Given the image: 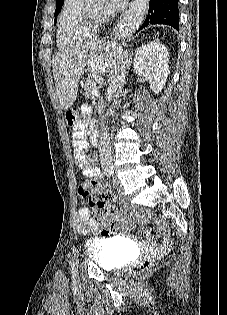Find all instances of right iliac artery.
I'll return each instance as SVG.
<instances>
[{"label": "right iliac artery", "instance_id": "82829eb1", "mask_svg": "<svg viewBox=\"0 0 227 315\" xmlns=\"http://www.w3.org/2000/svg\"><path fill=\"white\" fill-rule=\"evenodd\" d=\"M106 173H109V174H113L114 173V171H112V170H108Z\"/></svg>", "mask_w": 227, "mask_h": 315}]
</instances>
